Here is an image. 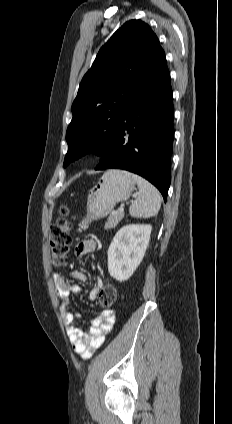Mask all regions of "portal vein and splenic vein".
Wrapping results in <instances>:
<instances>
[{
	"mask_svg": "<svg viewBox=\"0 0 232 424\" xmlns=\"http://www.w3.org/2000/svg\"><path fill=\"white\" fill-rule=\"evenodd\" d=\"M118 211H119V212H123V211H124L123 206H120V207H119V209H118ZM112 213L114 214L115 212H112Z\"/></svg>",
	"mask_w": 232,
	"mask_h": 424,
	"instance_id": "obj_1",
	"label": "portal vein and splenic vein"
}]
</instances>
